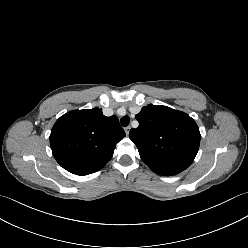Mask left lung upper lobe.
Masks as SVG:
<instances>
[{"label": "left lung upper lobe", "mask_w": 248, "mask_h": 248, "mask_svg": "<svg viewBox=\"0 0 248 248\" xmlns=\"http://www.w3.org/2000/svg\"><path fill=\"white\" fill-rule=\"evenodd\" d=\"M135 118L139 126L130 130L129 137L153 172L171 176L193 162L200 132L189 115L167 106L147 105Z\"/></svg>", "instance_id": "obj_1"}]
</instances>
